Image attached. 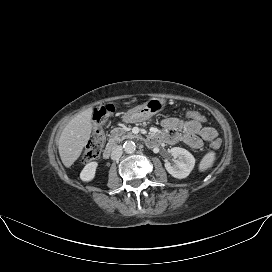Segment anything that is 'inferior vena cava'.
Instances as JSON below:
<instances>
[{
  "instance_id": "inferior-vena-cava-1",
  "label": "inferior vena cava",
  "mask_w": 272,
  "mask_h": 272,
  "mask_svg": "<svg viewBox=\"0 0 272 272\" xmlns=\"http://www.w3.org/2000/svg\"><path fill=\"white\" fill-rule=\"evenodd\" d=\"M122 153H123L122 146L120 145L115 146L111 152V159L118 160L122 156Z\"/></svg>"
}]
</instances>
